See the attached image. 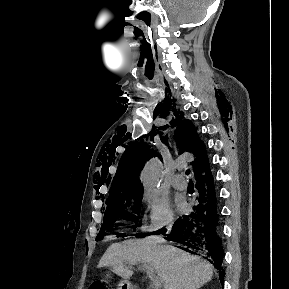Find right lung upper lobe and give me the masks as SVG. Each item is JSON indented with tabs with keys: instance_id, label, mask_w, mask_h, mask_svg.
<instances>
[{
	"instance_id": "obj_1",
	"label": "right lung upper lobe",
	"mask_w": 289,
	"mask_h": 289,
	"mask_svg": "<svg viewBox=\"0 0 289 289\" xmlns=\"http://www.w3.org/2000/svg\"><path fill=\"white\" fill-rule=\"evenodd\" d=\"M176 123L179 124L175 132L177 146L180 153L187 151L193 154L192 166L195 179H197L210 171L205 146L190 120H185L181 114ZM152 156H154V152L145 143H134L127 148L111 185L109 197L106 200L107 206L134 195L143 194L138 176L147 158L150 159Z\"/></svg>"
}]
</instances>
